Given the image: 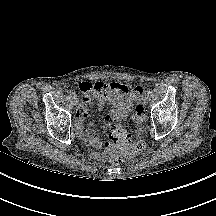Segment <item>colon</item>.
<instances>
[{
	"label": "colon",
	"mask_w": 216,
	"mask_h": 216,
	"mask_svg": "<svg viewBox=\"0 0 216 216\" xmlns=\"http://www.w3.org/2000/svg\"><path fill=\"white\" fill-rule=\"evenodd\" d=\"M79 88L82 94L87 97H92L98 92L96 85L88 82L80 84ZM143 94L144 89L140 86H136L131 90V97L136 102L134 107L136 128H139L145 120V111L140 104ZM105 130L108 132L105 147L111 152V162L115 165L135 156L144 148V142L123 124L108 122Z\"/></svg>",
	"instance_id": "colon-1"
}]
</instances>
